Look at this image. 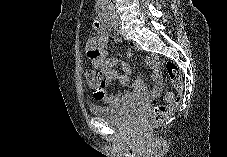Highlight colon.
<instances>
[{"instance_id":"colon-1","label":"colon","mask_w":227,"mask_h":157,"mask_svg":"<svg viewBox=\"0 0 227 157\" xmlns=\"http://www.w3.org/2000/svg\"><path fill=\"white\" fill-rule=\"evenodd\" d=\"M166 71L169 75L174 91H168L164 95L163 103L155 106L152 117L147 125L158 124L162 122L178 105V94L183 89V79L177 65L171 61L166 62ZM87 84L93 89L99 88L102 83V77L95 71L86 73Z\"/></svg>"}]
</instances>
